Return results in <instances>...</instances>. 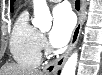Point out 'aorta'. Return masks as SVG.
Listing matches in <instances>:
<instances>
[{
  "instance_id": "762f6f07",
  "label": "aorta",
  "mask_w": 102,
  "mask_h": 75,
  "mask_svg": "<svg viewBox=\"0 0 102 75\" xmlns=\"http://www.w3.org/2000/svg\"><path fill=\"white\" fill-rule=\"evenodd\" d=\"M34 19L33 25L41 30L51 28L52 16L45 0H33ZM78 61L77 52L73 53L65 63L61 75H75Z\"/></svg>"
}]
</instances>
